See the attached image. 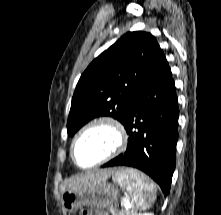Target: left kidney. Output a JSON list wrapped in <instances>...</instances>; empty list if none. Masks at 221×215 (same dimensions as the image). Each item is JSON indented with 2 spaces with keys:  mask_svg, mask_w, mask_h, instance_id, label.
I'll return each instance as SVG.
<instances>
[{
  "mask_svg": "<svg viewBox=\"0 0 221 215\" xmlns=\"http://www.w3.org/2000/svg\"><path fill=\"white\" fill-rule=\"evenodd\" d=\"M136 215H154V214L153 213L145 212V213H139V214H136Z\"/></svg>",
  "mask_w": 221,
  "mask_h": 215,
  "instance_id": "1",
  "label": "left kidney"
}]
</instances>
